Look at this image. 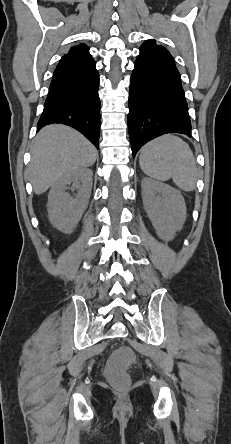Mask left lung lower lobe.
<instances>
[{"label":"left lung lower lobe","mask_w":231,"mask_h":444,"mask_svg":"<svg viewBox=\"0 0 231 444\" xmlns=\"http://www.w3.org/2000/svg\"><path fill=\"white\" fill-rule=\"evenodd\" d=\"M128 129L133 156L146 142L166 133L190 137L188 105L171 55L140 50L129 91Z\"/></svg>","instance_id":"obj_1"}]
</instances>
